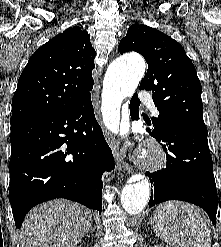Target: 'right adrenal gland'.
Here are the masks:
<instances>
[{"label": "right adrenal gland", "mask_w": 221, "mask_h": 247, "mask_svg": "<svg viewBox=\"0 0 221 247\" xmlns=\"http://www.w3.org/2000/svg\"><path fill=\"white\" fill-rule=\"evenodd\" d=\"M89 231H90V232H94V228L92 227V224L89 226V229H88V231L86 232L87 235H88Z\"/></svg>", "instance_id": "obj_1"}]
</instances>
